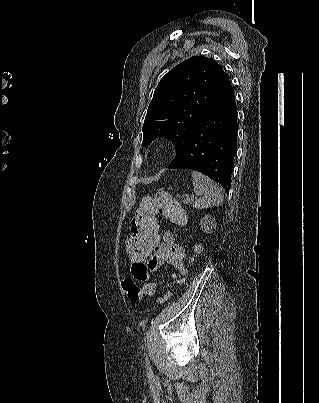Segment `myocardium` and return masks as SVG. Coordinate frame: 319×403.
Segmentation results:
<instances>
[{"label": "myocardium", "instance_id": "obj_1", "mask_svg": "<svg viewBox=\"0 0 319 403\" xmlns=\"http://www.w3.org/2000/svg\"><path fill=\"white\" fill-rule=\"evenodd\" d=\"M167 146L165 143H162L160 145H158L155 149H154V154L156 155H161L165 150H166Z\"/></svg>", "mask_w": 319, "mask_h": 403}]
</instances>
